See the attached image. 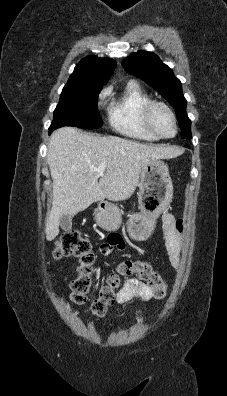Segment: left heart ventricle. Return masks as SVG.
<instances>
[{
    "mask_svg": "<svg viewBox=\"0 0 227 396\" xmlns=\"http://www.w3.org/2000/svg\"><path fill=\"white\" fill-rule=\"evenodd\" d=\"M153 123L156 129L165 136L174 134L175 127L171 115L161 107L155 108L153 112Z\"/></svg>",
    "mask_w": 227,
    "mask_h": 396,
    "instance_id": "1",
    "label": "left heart ventricle"
}]
</instances>
